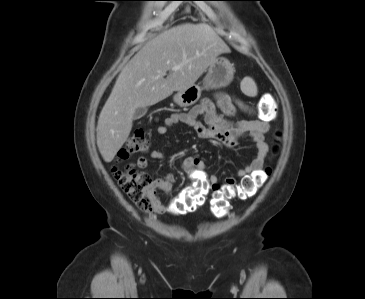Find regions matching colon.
Returning <instances> with one entry per match:
<instances>
[{"instance_id": "1", "label": "colon", "mask_w": 365, "mask_h": 299, "mask_svg": "<svg viewBox=\"0 0 365 299\" xmlns=\"http://www.w3.org/2000/svg\"><path fill=\"white\" fill-rule=\"evenodd\" d=\"M261 117L270 119L274 110L270 105H262L259 109ZM149 143L143 129H136L126 144L118 151L117 160L125 161L132 154L144 152ZM278 150V145L273 147V153ZM114 179L129 199L142 211L149 212L155 204V192L148 177L141 173L134 164H126L123 167L113 166L111 169ZM271 174L269 168L257 171L245 176L239 184H226L218 187L204 182L196 181L187 186L181 194L170 204L171 212L184 214L195 211L204 204L206 196L213 190L211 200V212L216 217H222L227 213L228 200L232 198L247 199L256 194L258 189L265 183Z\"/></svg>"}]
</instances>
